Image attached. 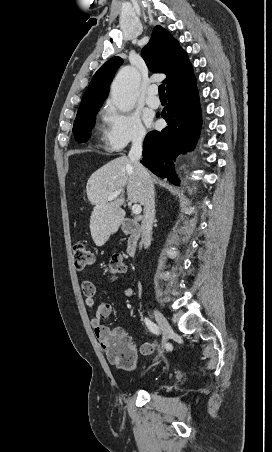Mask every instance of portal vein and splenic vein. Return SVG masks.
<instances>
[{
  "label": "portal vein and splenic vein",
  "instance_id": "portal-vein-and-splenic-vein-1",
  "mask_svg": "<svg viewBox=\"0 0 272 452\" xmlns=\"http://www.w3.org/2000/svg\"><path fill=\"white\" fill-rule=\"evenodd\" d=\"M120 194H121V190L115 191V192L111 193V194L108 196L107 199H108V201H112V200H114L115 198H117ZM141 211H142V208H141L140 205L134 204V205L132 206V213H133V214L139 215V214L141 213Z\"/></svg>",
  "mask_w": 272,
  "mask_h": 452
}]
</instances>
